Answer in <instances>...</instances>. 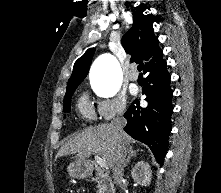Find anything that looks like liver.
<instances>
[{
	"label": "liver",
	"instance_id": "liver-1",
	"mask_svg": "<svg viewBox=\"0 0 221 193\" xmlns=\"http://www.w3.org/2000/svg\"><path fill=\"white\" fill-rule=\"evenodd\" d=\"M120 140L128 147L132 139L123 131ZM118 141L117 133L111 124L89 127L61 146L56 159L62 156L76 155L75 158L78 161H85L91 154H96L105 159L107 167L111 168Z\"/></svg>",
	"mask_w": 221,
	"mask_h": 193
}]
</instances>
